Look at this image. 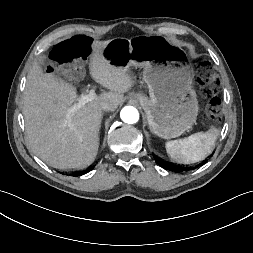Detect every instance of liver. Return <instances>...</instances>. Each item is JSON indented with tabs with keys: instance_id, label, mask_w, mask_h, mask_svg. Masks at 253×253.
<instances>
[{
	"instance_id": "1",
	"label": "liver",
	"mask_w": 253,
	"mask_h": 253,
	"mask_svg": "<svg viewBox=\"0 0 253 253\" xmlns=\"http://www.w3.org/2000/svg\"><path fill=\"white\" fill-rule=\"evenodd\" d=\"M108 44L91 43L89 71L92 79L110 92L86 104L79 103L76 87L44 73L39 63L28 73L23 98L27 139L34 154L53 168L81 169L93 163L99 148L101 103L109 102L115 110L123 102V94L134 86L127 69L104 56Z\"/></svg>"
}]
</instances>
